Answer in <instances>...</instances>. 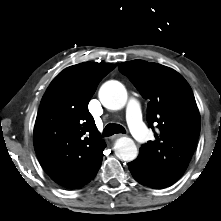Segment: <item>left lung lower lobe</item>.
Masks as SVG:
<instances>
[{
  "instance_id": "obj_1",
  "label": "left lung lower lobe",
  "mask_w": 221,
  "mask_h": 221,
  "mask_svg": "<svg viewBox=\"0 0 221 221\" xmlns=\"http://www.w3.org/2000/svg\"><path fill=\"white\" fill-rule=\"evenodd\" d=\"M129 170L132 174V176L139 181L140 183L155 188L153 184L151 183L150 179L146 175L145 168L143 164L138 160V158L130 163H128ZM157 189V188H156Z\"/></svg>"
}]
</instances>
